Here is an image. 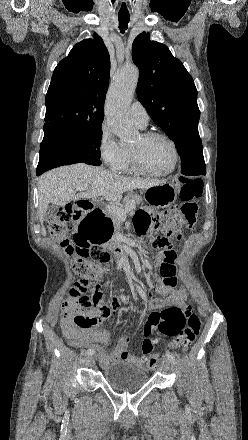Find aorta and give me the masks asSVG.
<instances>
[{"mask_svg":"<svg viewBox=\"0 0 248 440\" xmlns=\"http://www.w3.org/2000/svg\"><path fill=\"white\" fill-rule=\"evenodd\" d=\"M139 71L134 65L121 68L109 90L105 115L111 131L121 142L133 141L138 132L129 115V105L137 87Z\"/></svg>","mask_w":248,"mask_h":440,"instance_id":"762f6f07","label":"aorta"}]
</instances>
